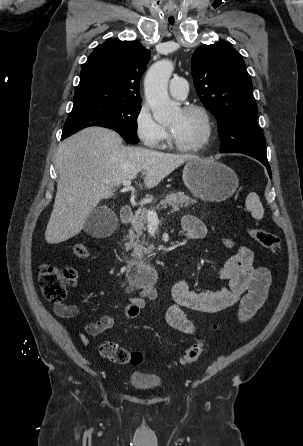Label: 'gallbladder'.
Masks as SVG:
<instances>
[{
  "label": "gallbladder",
  "instance_id": "bac80fb5",
  "mask_svg": "<svg viewBox=\"0 0 303 446\" xmlns=\"http://www.w3.org/2000/svg\"><path fill=\"white\" fill-rule=\"evenodd\" d=\"M115 213L106 206L96 207L91 211L85 222V231L94 236L102 237L110 233L116 226Z\"/></svg>",
  "mask_w": 303,
  "mask_h": 446
}]
</instances>
